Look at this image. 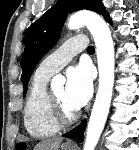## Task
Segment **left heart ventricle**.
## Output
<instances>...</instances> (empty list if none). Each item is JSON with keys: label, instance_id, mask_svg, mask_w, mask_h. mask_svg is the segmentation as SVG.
Here are the masks:
<instances>
[{"label": "left heart ventricle", "instance_id": "left-heart-ventricle-1", "mask_svg": "<svg viewBox=\"0 0 139 150\" xmlns=\"http://www.w3.org/2000/svg\"><path fill=\"white\" fill-rule=\"evenodd\" d=\"M53 97L57 100L65 114L71 115L76 111L67 101L65 87L60 86L51 91Z\"/></svg>", "mask_w": 139, "mask_h": 150}]
</instances>
